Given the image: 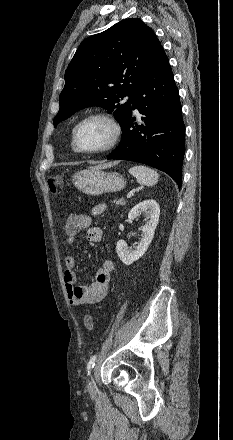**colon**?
I'll return each mask as SVG.
<instances>
[{
    "label": "colon",
    "instance_id": "obj_1",
    "mask_svg": "<svg viewBox=\"0 0 233 440\" xmlns=\"http://www.w3.org/2000/svg\"><path fill=\"white\" fill-rule=\"evenodd\" d=\"M63 179L59 174H52L48 178V186L51 193L55 194L61 188ZM84 327L86 330L90 331L94 328V318L91 315L84 317Z\"/></svg>",
    "mask_w": 233,
    "mask_h": 440
}]
</instances>
